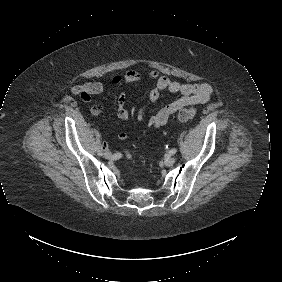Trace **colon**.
Returning <instances> with one entry per match:
<instances>
[{"label":"colon","instance_id":"obj_1","mask_svg":"<svg viewBox=\"0 0 282 282\" xmlns=\"http://www.w3.org/2000/svg\"><path fill=\"white\" fill-rule=\"evenodd\" d=\"M195 114H196V110L192 106H189V107L182 108L179 111L178 118L181 121H187V120L192 119L195 116ZM124 157L130 165L135 166L133 156L129 151H124Z\"/></svg>","mask_w":282,"mask_h":282}]
</instances>
